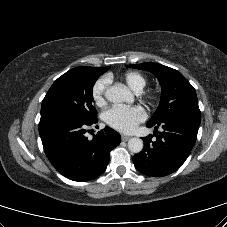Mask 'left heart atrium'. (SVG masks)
Returning <instances> with one entry per match:
<instances>
[{
    "label": "left heart atrium",
    "mask_w": 227,
    "mask_h": 227,
    "mask_svg": "<svg viewBox=\"0 0 227 227\" xmlns=\"http://www.w3.org/2000/svg\"><path fill=\"white\" fill-rule=\"evenodd\" d=\"M146 119L145 111L139 107L113 106L105 111L104 120L112 128L130 133Z\"/></svg>",
    "instance_id": "left-heart-atrium-1"
}]
</instances>
